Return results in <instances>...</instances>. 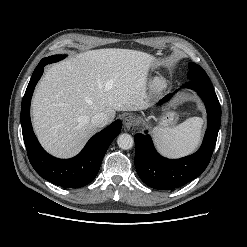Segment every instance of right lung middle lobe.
<instances>
[{
	"label": "right lung middle lobe",
	"mask_w": 247,
	"mask_h": 247,
	"mask_svg": "<svg viewBox=\"0 0 247 247\" xmlns=\"http://www.w3.org/2000/svg\"><path fill=\"white\" fill-rule=\"evenodd\" d=\"M65 57H66V55H53V56L47 57L45 59L51 60L52 62H57V61L64 59Z\"/></svg>",
	"instance_id": "1"
}]
</instances>
